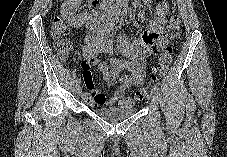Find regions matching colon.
<instances>
[{"instance_id": "1", "label": "colon", "mask_w": 227, "mask_h": 157, "mask_svg": "<svg viewBox=\"0 0 227 157\" xmlns=\"http://www.w3.org/2000/svg\"><path fill=\"white\" fill-rule=\"evenodd\" d=\"M69 33L68 27L59 18L56 17L51 27V38L56 55L61 60H66L73 49L71 41L67 38ZM180 35V18L172 15L168 25L166 26L164 35L161 40V56L158 67L152 76L151 82L158 81L169 70L171 64L172 42ZM150 82V83H151ZM148 83L145 87L139 89L133 97L123 98L120 102L121 107H132L136 101H140L146 97L150 86Z\"/></svg>"}]
</instances>
